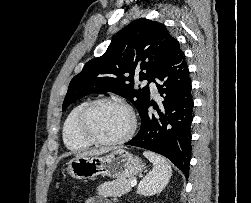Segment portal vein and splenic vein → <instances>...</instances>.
I'll return each mask as SVG.
<instances>
[{"instance_id": "obj_1", "label": "portal vein and splenic vein", "mask_w": 251, "mask_h": 203, "mask_svg": "<svg viewBox=\"0 0 251 203\" xmlns=\"http://www.w3.org/2000/svg\"><path fill=\"white\" fill-rule=\"evenodd\" d=\"M136 184H137V181H136V180H132V181H131V187L136 186Z\"/></svg>"}]
</instances>
